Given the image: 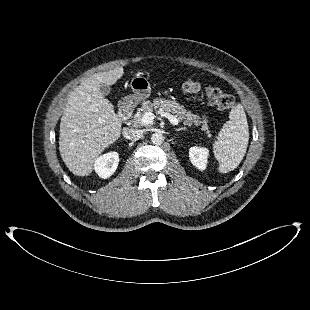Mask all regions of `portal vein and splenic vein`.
Returning <instances> with one entry per match:
<instances>
[{
    "instance_id": "obj_1",
    "label": "portal vein and splenic vein",
    "mask_w": 310,
    "mask_h": 310,
    "mask_svg": "<svg viewBox=\"0 0 310 310\" xmlns=\"http://www.w3.org/2000/svg\"><path fill=\"white\" fill-rule=\"evenodd\" d=\"M158 113L161 114L162 117L167 118L171 124L178 125L179 121L175 116H173L167 112H164V111H158ZM154 117L155 116H154L152 111L145 112L142 119H141V122L144 125H149L154 121Z\"/></svg>"
}]
</instances>
